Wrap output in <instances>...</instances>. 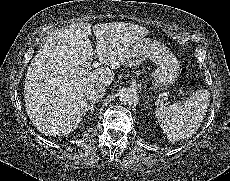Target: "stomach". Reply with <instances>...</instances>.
<instances>
[{
  "label": "stomach",
  "mask_w": 230,
  "mask_h": 181,
  "mask_svg": "<svg viewBox=\"0 0 230 181\" xmlns=\"http://www.w3.org/2000/svg\"><path fill=\"white\" fill-rule=\"evenodd\" d=\"M156 45L151 41H143L137 45L134 53H129L126 56V61L134 59L137 61L141 56L147 54L151 48ZM160 53L157 58L158 68L154 73L155 87H165L173 82L178 73V64L172 54L166 51L163 47H159Z\"/></svg>",
  "instance_id": "obj_1"
}]
</instances>
